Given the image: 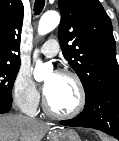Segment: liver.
<instances>
[{"mask_svg":"<svg viewBox=\"0 0 119 141\" xmlns=\"http://www.w3.org/2000/svg\"><path fill=\"white\" fill-rule=\"evenodd\" d=\"M51 124L22 115H0V141H41Z\"/></svg>","mask_w":119,"mask_h":141,"instance_id":"1","label":"liver"}]
</instances>
